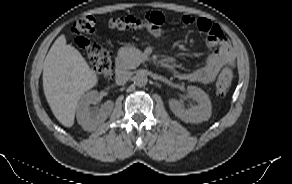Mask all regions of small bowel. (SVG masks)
I'll list each match as a JSON object with an SVG mask.
<instances>
[{
  "mask_svg": "<svg viewBox=\"0 0 292 184\" xmlns=\"http://www.w3.org/2000/svg\"><path fill=\"white\" fill-rule=\"evenodd\" d=\"M163 17L161 12H157ZM182 21L185 25H196L201 31L206 34V45L209 48H216L210 54L205 64L191 72L179 73L178 78L189 81L198 82L202 84H209L213 82L222 68H233L236 63V52L224 35L221 28L207 18H196L191 15H184ZM163 34L162 28L153 33L155 37H160Z\"/></svg>",
  "mask_w": 292,
  "mask_h": 184,
  "instance_id": "1",
  "label": "small bowel"
}]
</instances>
